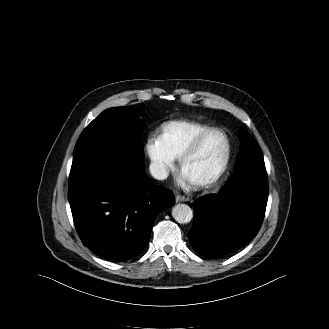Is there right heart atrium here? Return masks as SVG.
I'll list each match as a JSON object with an SVG mask.
<instances>
[{
  "label": "right heart atrium",
  "instance_id": "right-heart-atrium-1",
  "mask_svg": "<svg viewBox=\"0 0 329 329\" xmlns=\"http://www.w3.org/2000/svg\"><path fill=\"white\" fill-rule=\"evenodd\" d=\"M145 150L155 176L158 178L166 177L175 164V158L163 146L159 138H148L145 144Z\"/></svg>",
  "mask_w": 329,
  "mask_h": 329
}]
</instances>
